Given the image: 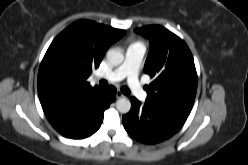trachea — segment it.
Listing matches in <instances>:
<instances>
[{
	"label": "trachea",
	"mask_w": 248,
	"mask_h": 165,
	"mask_svg": "<svg viewBox=\"0 0 248 165\" xmlns=\"http://www.w3.org/2000/svg\"><path fill=\"white\" fill-rule=\"evenodd\" d=\"M99 85H100L101 87H107V86H108V82H107L106 80H101V81L99 82ZM121 92H122L123 94H125V95H129V94H130V90H129L128 87H126V86L121 87Z\"/></svg>",
	"instance_id": "3493384b"
}]
</instances>
